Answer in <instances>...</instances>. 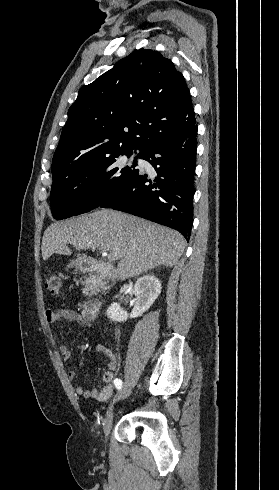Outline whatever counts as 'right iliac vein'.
<instances>
[{
    "label": "right iliac vein",
    "instance_id": "obj_1",
    "mask_svg": "<svg viewBox=\"0 0 279 490\" xmlns=\"http://www.w3.org/2000/svg\"><path fill=\"white\" fill-rule=\"evenodd\" d=\"M130 393H131V388H127L122 392V394H120L118 396V399L126 398L130 395ZM118 399H115V400H118ZM112 423H113V405H111L109 407V410L106 414V419H105L104 424H103L105 436H107L110 433Z\"/></svg>",
    "mask_w": 279,
    "mask_h": 490
}]
</instances>
